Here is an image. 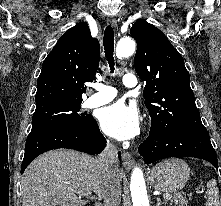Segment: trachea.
Instances as JSON below:
<instances>
[{
  "label": "trachea",
  "instance_id": "trachea-1",
  "mask_svg": "<svg viewBox=\"0 0 221 206\" xmlns=\"http://www.w3.org/2000/svg\"><path fill=\"white\" fill-rule=\"evenodd\" d=\"M103 45H104V50H105V55L109 63V67L111 70V73L114 72V31L111 26H107L105 31H104V40H103Z\"/></svg>",
  "mask_w": 221,
  "mask_h": 206
}]
</instances>
